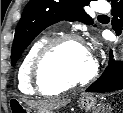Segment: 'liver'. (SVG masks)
Wrapping results in <instances>:
<instances>
[{"label":"liver","instance_id":"1","mask_svg":"<svg viewBox=\"0 0 123 113\" xmlns=\"http://www.w3.org/2000/svg\"><path fill=\"white\" fill-rule=\"evenodd\" d=\"M70 100L69 99H59L55 101H48V102H36L30 103L37 107L40 112L47 113L59 107L65 106Z\"/></svg>","mask_w":123,"mask_h":113}]
</instances>
